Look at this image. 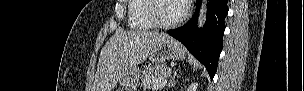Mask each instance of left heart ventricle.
Instances as JSON below:
<instances>
[{
	"label": "left heart ventricle",
	"mask_w": 304,
	"mask_h": 91,
	"mask_svg": "<svg viewBox=\"0 0 304 91\" xmlns=\"http://www.w3.org/2000/svg\"><path fill=\"white\" fill-rule=\"evenodd\" d=\"M184 10L182 1L161 0L156 4V15L163 22H171L181 16Z\"/></svg>",
	"instance_id": "obj_1"
}]
</instances>
